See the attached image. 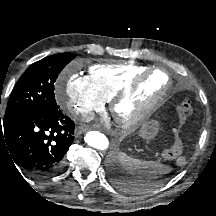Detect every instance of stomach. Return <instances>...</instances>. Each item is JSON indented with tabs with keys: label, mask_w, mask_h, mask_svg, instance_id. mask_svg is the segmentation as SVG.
Returning <instances> with one entry per match:
<instances>
[{
	"label": "stomach",
	"mask_w": 216,
	"mask_h": 216,
	"mask_svg": "<svg viewBox=\"0 0 216 216\" xmlns=\"http://www.w3.org/2000/svg\"><path fill=\"white\" fill-rule=\"evenodd\" d=\"M158 129H159L158 122L152 120L143 124L140 133L143 137L147 139H151L157 134Z\"/></svg>",
	"instance_id": "obj_1"
}]
</instances>
